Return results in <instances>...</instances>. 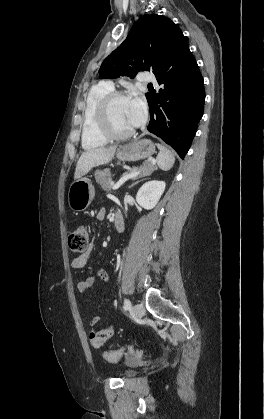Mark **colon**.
<instances>
[{
	"label": "colon",
	"instance_id": "obj_1",
	"mask_svg": "<svg viewBox=\"0 0 264 419\" xmlns=\"http://www.w3.org/2000/svg\"><path fill=\"white\" fill-rule=\"evenodd\" d=\"M89 244V231L85 225L75 227L68 236V246L71 251L77 253L86 252ZM129 357L133 359H144L146 354L139 349L132 346L123 347L121 349L104 352L103 357L109 362H117L122 357Z\"/></svg>",
	"mask_w": 264,
	"mask_h": 419
}]
</instances>
